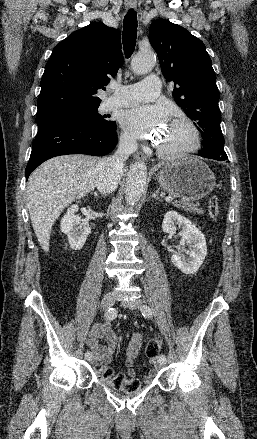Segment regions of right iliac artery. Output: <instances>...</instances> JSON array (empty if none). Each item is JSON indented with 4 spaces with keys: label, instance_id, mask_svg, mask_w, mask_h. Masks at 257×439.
<instances>
[{
    "label": "right iliac artery",
    "instance_id": "right-iliac-artery-1",
    "mask_svg": "<svg viewBox=\"0 0 257 439\" xmlns=\"http://www.w3.org/2000/svg\"><path fill=\"white\" fill-rule=\"evenodd\" d=\"M116 310L114 308H110L106 313H105V319L106 320H113L116 317ZM93 355L90 351H87L85 353V358L90 360L92 359Z\"/></svg>",
    "mask_w": 257,
    "mask_h": 439
}]
</instances>
